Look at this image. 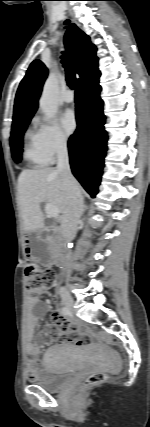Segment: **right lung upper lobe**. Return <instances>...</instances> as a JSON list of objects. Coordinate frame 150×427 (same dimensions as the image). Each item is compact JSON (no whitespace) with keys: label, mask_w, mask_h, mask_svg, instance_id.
<instances>
[{"label":"right lung upper lobe","mask_w":150,"mask_h":427,"mask_svg":"<svg viewBox=\"0 0 150 427\" xmlns=\"http://www.w3.org/2000/svg\"><path fill=\"white\" fill-rule=\"evenodd\" d=\"M65 46L76 73L80 75L77 85L100 73L96 47L75 24L65 34ZM47 74L48 70L40 60L31 63L16 93L13 123L32 118L38 108V99Z\"/></svg>","instance_id":"cb5924a9"}]
</instances>
